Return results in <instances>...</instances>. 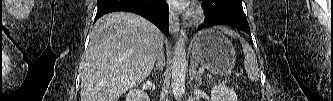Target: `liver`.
<instances>
[{"instance_id": "obj_1", "label": "liver", "mask_w": 333, "mask_h": 101, "mask_svg": "<svg viewBox=\"0 0 333 101\" xmlns=\"http://www.w3.org/2000/svg\"><path fill=\"white\" fill-rule=\"evenodd\" d=\"M163 43V34L143 17H101L81 63V101H118L150 75Z\"/></svg>"}]
</instances>
